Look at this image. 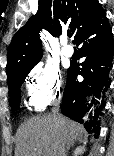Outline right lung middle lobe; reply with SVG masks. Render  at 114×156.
Returning <instances> with one entry per match:
<instances>
[{
    "label": "right lung middle lobe",
    "instance_id": "1",
    "mask_svg": "<svg viewBox=\"0 0 114 156\" xmlns=\"http://www.w3.org/2000/svg\"><path fill=\"white\" fill-rule=\"evenodd\" d=\"M28 73H29V71L13 77L12 80L10 81V83L8 84L9 95L11 96L10 106L13 109H19L20 98H21L20 87H21L22 83L24 82V79L26 78Z\"/></svg>",
    "mask_w": 114,
    "mask_h": 156
}]
</instances>
